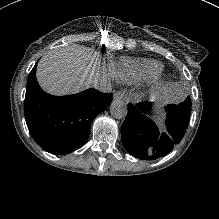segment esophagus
<instances>
[{"label": "esophagus", "mask_w": 219, "mask_h": 219, "mask_svg": "<svg viewBox=\"0 0 219 219\" xmlns=\"http://www.w3.org/2000/svg\"><path fill=\"white\" fill-rule=\"evenodd\" d=\"M113 99L114 100H121V99H125V94L122 91H118L113 95Z\"/></svg>", "instance_id": "34e87169"}]
</instances>
